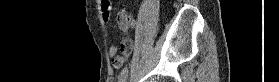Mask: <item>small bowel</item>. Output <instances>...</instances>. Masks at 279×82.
<instances>
[{
	"label": "small bowel",
	"mask_w": 279,
	"mask_h": 82,
	"mask_svg": "<svg viewBox=\"0 0 279 82\" xmlns=\"http://www.w3.org/2000/svg\"><path fill=\"white\" fill-rule=\"evenodd\" d=\"M98 2H99L100 7H102L104 19L108 20L109 16H110V7H109L110 5L101 3L100 1H98ZM121 30L126 31L127 28L124 27V28H121ZM120 46H121V50H122L124 56L119 55V49L117 46L113 45L109 48V55H110V57L113 58V67L115 69H120L123 66L124 61H125V56L131 52V41L128 38H123Z\"/></svg>",
	"instance_id": "small-bowel-1"
}]
</instances>
